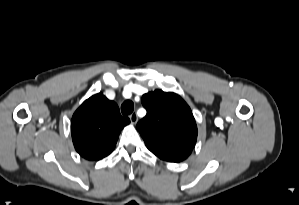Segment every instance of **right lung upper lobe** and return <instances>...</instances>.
I'll use <instances>...</instances> for the list:
<instances>
[{
  "label": "right lung upper lobe",
  "instance_id": "obj_1",
  "mask_svg": "<svg viewBox=\"0 0 299 205\" xmlns=\"http://www.w3.org/2000/svg\"><path fill=\"white\" fill-rule=\"evenodd\" d=\"M130 123L122 117L117 104L102 93L91 96L74 113L72 140L76 151L87 160L109 155L123 127Z\"/></svg>",
  "mask_w": 299,
  "mask_h": 205
}]
</instances>
